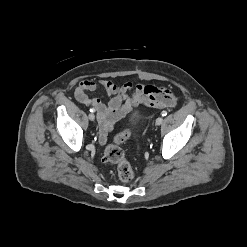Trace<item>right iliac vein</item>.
Returning a JSON list of instances; mask_svg holds the SVG:
<instances>
[{
  "label": "right iliac vein",
  "mask_w": 247,
  "mask_h": 247,
  "mask_svg": "<svg viewBox=\"0 0 247 247\" xmlns=\"http://www.w3.org/2000/svg\"><path fill=\"white\" fill-rule=\"evenodd\" d=\"M88 117L91 121L95 120V115L93 113H90Z\"/></svg>",
  "instance_id": "right-iliac-vein-1"
}]
</instances>
